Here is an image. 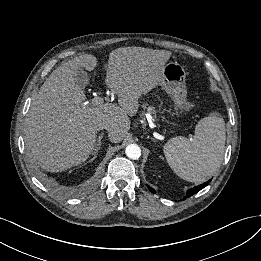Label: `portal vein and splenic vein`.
I'll use <instances>...</instances> for the list:
<instances>
[{"label":"portal vein and splenic vein","instance_id":"portal-vein-and-splenic-vein-1","mask_svg":"<svg viewBox=\"0 0 261 261\" xmlns=\"http://www.w3.org/2000/svg\"><path fill=\"white\" fill-rule=\"evenodd\" d=\"M92 104L93 105H101L103 104V98L101 97H96L92 100Z\"/></svg>","mask_w":261,"mask_h":261}]
</instances>
